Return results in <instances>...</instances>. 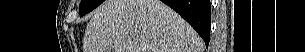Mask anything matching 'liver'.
Here are the masks:
<instances>
[{
  "instance_id": "obj_1",
  "label": "liver",
  "mask_w": 305,
  "mask_h": 52,
  "mask_svg": "<svg viewBox=\"0 0 305 52\" xmlns=\"http://www.w3.org/2000/svg\"><path fill=\"white\" fill-rule=\"evenodd\" d=\"M196 31L159 0H106L87 24L83 52H203Z\"/></svg>"
}]
</instances>
